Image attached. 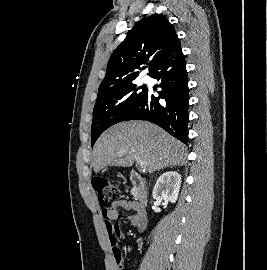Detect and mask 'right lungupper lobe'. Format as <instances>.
<instances>
[{
  "mask_svg": "<svg viewBox=\"0 0 267 270\" xmlns=\"http://www.w3.org/2000/svg\"><path fill=\"white\" fill-rule=\"evenodd\" d=\"M179 43L173 25L165 16L154 14L140 20L111 55L98 91L135 80L139 75L136 70L148 61V74L152 75Z\"/></svg>",
  "mask_w": 267,
  "mask_h": 270,
  "instance_id": "1",
  "label": "right lung upper lobe"
}]
</instances>
